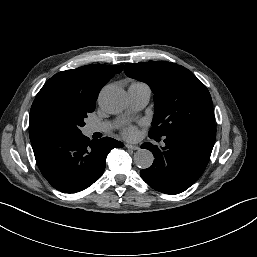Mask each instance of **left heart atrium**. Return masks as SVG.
Here are the masks:
<instances>
[{"label":"left heart atrium","mask_w":257,"mask_h":257,"mask_svg":"<svg viewBox=\"0 0 257 257\" xmlns=\"http://www.w3.org/2000/svg\"><path fill=\"white\" fill-rule=\"evenodd\" d=\"M124 137L127 139H134L137 136V130L133 126H127L122 131Z\"/></svg>","instance_id":"obj_1"}]
</instances>
